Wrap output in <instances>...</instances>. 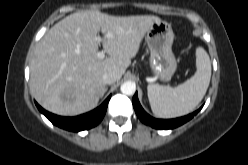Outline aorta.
<instances>
[{
  "label": "aorta",
  "mask_w": 248,
  "mask_h": 165,
  "mask_svg": "<svg viewBox=\"0 0 248 165\" xmlns=\"http://www.w3.org/2000/svg\"><path fill=\"white\" fill-rule=\"evenodd\" d=\"M120 90L125 95H133L136 91V85L134 82L126 81L121 85Z\"/></svg>",
  "instance_id": "762f6f07"
}]
</instances>
